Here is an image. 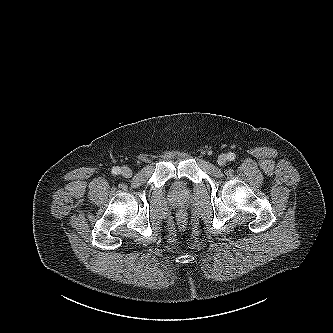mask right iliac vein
I'll use <instances>...</instances> for the list:
<instances>
[{
    "mask_svg": "<svg viewBox=\"0 0 333 333\" xmlns=\"http://www.w3.org/2000/svg\"><path fill=\"white\" fill-rule=\"evenodd\" d=\"M121 174L126 178H130L132 176V170L128 167H122Z\"/></svg>",
    "mask_w": 333,
    "mask_h": 333,
    "instance_id": "right-iliac-vein-1",
    "label": "right iliac vein"
}]
</instances>
